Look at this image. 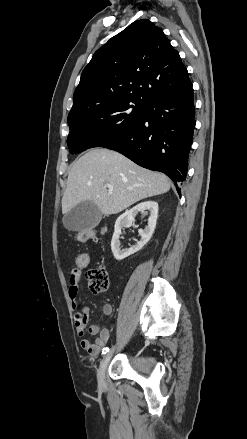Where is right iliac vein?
<instances>
[{"mask_svg":"<svg viewBox=\"0 0 247 439\" xmlns=\"http://www.w3.org/2000/svg\"><path fill=\"white\" fill-rule=\"evenodd\" d=\"M114 350H115V347H113L110 351H108L100 363V366H99V369L97 372V379H98L99 385L105 384V372H106L107 366L112 358Z\"/></svg>","mask_w":247,"mask_h":439,"instance_id":"obj_1","label":"right iliac vein"}]
</instances>
